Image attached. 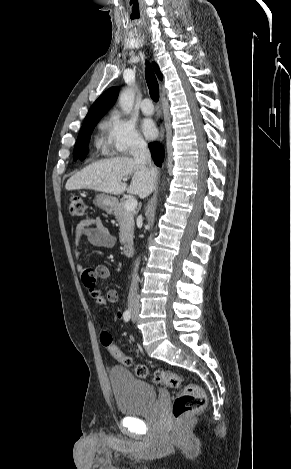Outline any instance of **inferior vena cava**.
Segmentation results:
<instances>
[{"mask_svg":"<svg viewBox=\"0 0 291 469\" xmlns=\"http://www.w3.org/2000/svg\"><path fill=\"white\" fill-rule=\"evenodd\" d=\"M131 154L133 155L135 161L145 164L147 166H151V154L143 138H135ZM138 280V275L134 273L132 276L131 286L128 295V304L130 307L139 306V298L137 294Z\"/></svg>","mask_w":291,"mask_h":469,"instance_id":"602c4592","label":"inferior vena cava"}]
</instances>
